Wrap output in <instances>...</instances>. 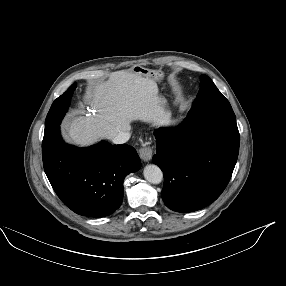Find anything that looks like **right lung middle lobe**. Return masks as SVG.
Here are the masks:
<instances>
[{"instance_id":"1","label":"right lung middle lobe","mask_w":286,"mask_h":286,"mask_svg":"<svg viewBox=\"0 0 286 286\" xmlns=\"http://www.w3.org/2000/svg\"><path fill=\"white\" fill-rule=\"evenodd\" d=\"M75 88L76 84H72L66 92H64L53 102L45 120L44 132L50 131L51 129L60 125L65 112L68 110L70 100Z\"/></svg>"}]
</instances>
